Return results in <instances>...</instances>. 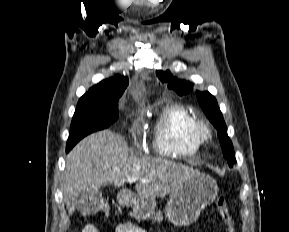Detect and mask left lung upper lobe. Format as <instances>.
Listing matches in <instances>:
<instances>
[{
  "instance_id": "1",
  "label": "left lung upper lobe",
  "mask_w": 289,
  "mask_h": 232,
  "mask_svg": "<svg viewBox=\"0 0 289 232\" xmlns=\"http://www.w3.org/2000/svg\"><path fill=\"white\" fill-rule=\"evenodd\" d=\"M156 74L162 82H169L168 88L176 91L180 96L193 91V84L191 82L173 77L169 70L165 72L159 70ZM196 95L204 113L217 129L224 157L228 162L236 163L232 142L227 135V128L216 99L207 91H196Z\"/></svg>"
}]
</instances>
